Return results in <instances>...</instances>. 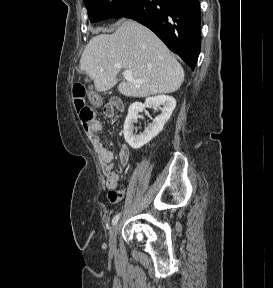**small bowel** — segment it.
<instances>
[{
    "mask_svg": "<svg viewBox=\"0 0 273 288\" xmlns=\"http://www.w3.org/2000/svg\"><path fill=\"white\" fill-rule=\"evenodd\" d=\"M123 108L119 101H111L104 106V115L113 118L116 111ZM103 129V124L99 120H93L88 128H86L90 140L99 156L102 172L105 176V185L108 189V199L112 203L121 201L124 191L119 188V175L114 171V154L107 149L98 137V133ZM130 152L127 146H122L120 150V159L123 164L128 163Z\"/></svg>",
    "mask_w": 273,
    "mask_h": 288,
    "instance_id": "1",
    "label": "small bowel"
}]
</instances>
